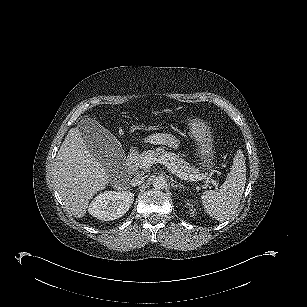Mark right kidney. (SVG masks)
<instances>
[{
	"label": "right kidney",
	"instance_id": "ca27d5eb",
	"mask_svg": "<svg viewBox=\"0 0 307 307\" xmlns=\"http://www.w3.org/2000/svg\"><path fill=\"white\" fill-rule=\"evenodd\" d=\"M133 201L134 194L130 191H105L94 198L88 212L97 219L111 221L122 217Z\"/></svg>",
	"mask_w": 307,
	"mask_h": 307
}]
</instances>
